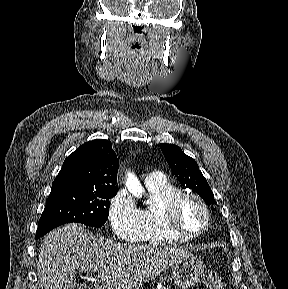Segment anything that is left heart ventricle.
<instances>
[{"label": "left heart ventricle", "mask_w": 288, "mask_h": 289, "mask_svg": "<svg viewBox=\"0 0 288 289\" xmlns=\"http://www.w3.org/2000/svg\"><path fill=\"white\" fill-rule=\"evenodd\" d=\"M177 219L181 228L189 233L201 231L206 223L203 209L194 200H186L179 206Z\"/></svg>", "instance_id": "b2bd125f"}]
</instances>
